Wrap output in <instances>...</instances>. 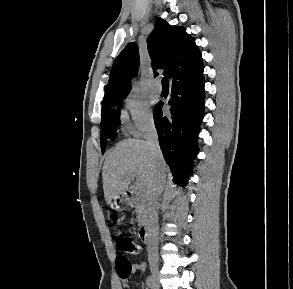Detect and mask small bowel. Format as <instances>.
I'll use <instances>...</instances> for the list:
<instances>
[{
  "instance_id": "small-bowel-1",
  "label": "small bowel",
  "mask_w": 293,
  "mask_h": 289,
  "mask_svg": "<svg viewBox=\"0 0 293 289\" xmlns=\"http://www.w3.org/2000/svg\"><path fill=\"white\" fill-rule=\"evenodd\" d=\"M133 269L136 271V272H143L145 271L146 269V265L145 263L143 262H139V263H136L134 266H133ZM122 288L123 289H128V282L126 280H123L122 281Z\"/></svg>"
}]
</instances>
